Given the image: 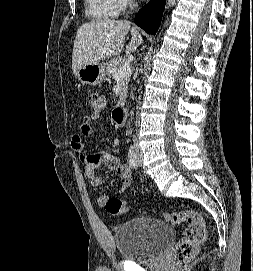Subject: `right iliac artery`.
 Listing matches in <instances>:
<instances>
[{"label": "right iliac artery", "instance_id": "right-iliac-artery-1", "mask_svg": "<svg viewBox=\"0 0 253 271\" xmlns=\"http://www.w3.org/2000/svg\"><path fill=\"white\" fill-rule=\"evenodd\" d=\"M128 162L131 168L136 169L138 167L137 154L134 146H131L128 152Z\"/></svg>", "mask_w": 253, "mask_h": 271}]
</instances>
